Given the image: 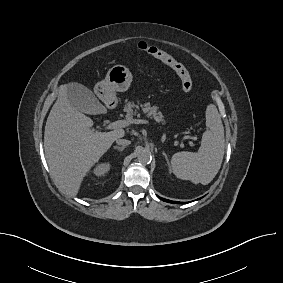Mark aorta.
Masks as SVG:
<instances>
[{"instance_id":"obj_1","label":"aorta","mask_w":283,"mask_h":283,"mask_svg":"<svg viewBox=\"0 0 283 283\" xmlns=\"http://www.w3.org/2000/svg\"><path fill=\"white\" fill-rule=\"evenodd\" d=\"M137 159L141 164L145 165V164H149L151 162L152 156H151V153L149 151L143 150L138 154Z\"/></svg>"}]
</instances>
